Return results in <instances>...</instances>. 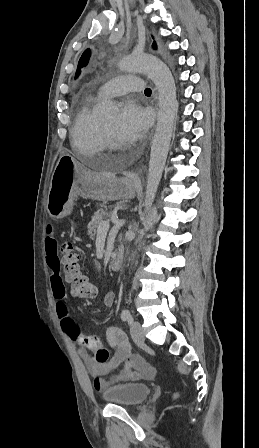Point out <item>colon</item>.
<instances>
[{
    "mask_svg": "<svg viewBox=\"0 0 259 448\" xmlns=\"http://www.w3.org/2000/svg\"><path fill=\"white\" fill-rule=\"evenodd\" d=\"M62 263L65 271V279L70 286L75 298L87 299L96 295V287L84 275L79 265V255L74 251L72 244L65 243L62 246ZM80 344L94 353V359L98 363H107L111 360L110 353L105 349L96 335L83 336Z\"/></svg>",
    "mask_w": 259,
    "mask_h": 448,
    "instance_id": "colon-1",
    "label": "colon"
}]
</instances>
